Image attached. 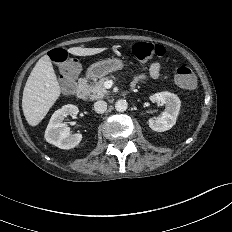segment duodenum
Wrapping results in <instances>:
<instances>
[{
    "instance_id": "410a0bca",
    "label": "duodenum",
    "mask_w": 232,
    "mask_h": 232,
    "mask_svg": "<svg viewBox=\"0 0 232 232\" xmlns=\"http://www.w3.org/2000/svg\"><path fill=\"white\" fill-rule=\"evenodd\" d=\"M76 95L80 99H84L87 95V81L84 78L79 79L76 87Z\"/></svg>"
}]
</instances>
